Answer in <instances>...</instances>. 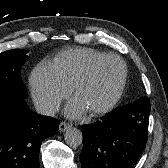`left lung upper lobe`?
Segmentation results:
<instances>
[{"instance_id":"obj_1","label":"left lung upper lobe","mask_w":168,"mask_h":168,"mask_svg":"<svg viewBox=\"0 0 168 168\" xmlns=\"http://www.w3.org/2000/svg\"><path fill=\"white\" fill-rule=\"evenodd\" d=\"M144 101V100H146V101H148L149 102V98H147V97H142V98H140L138 101Z\"/></svg>"}]
</instances>
